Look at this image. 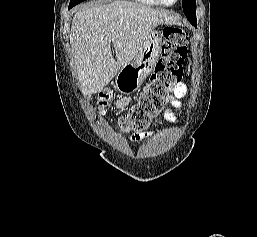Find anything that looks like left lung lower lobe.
Here are the masks:
<instances>
[{
    "label": "left lung lower lobe",
    "instance_id": "0a47b994",
    "mask_svg": "<svg viewBox=\"0 0 257 237\" xmlns=\"http://www.w3.org/2000/svg\"><path fill=\"white\" fill-rule=\"evenodd\" d=\"M193 26L197 27V22L191 23Z\"/></svg>",
    "mask_w": 257,
    "mask_h": 237
}]
</instances>
